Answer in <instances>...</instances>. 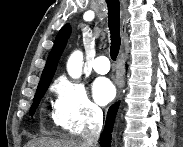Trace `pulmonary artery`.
<instances>
[{"mask_svg": "<svg viewBox=\"0 0 183 147\" xmlns=\"http://www.w3.org/2000/svg\"><path fill=\"white\" fill-rule=\"evenodd\" d=\"M93 69L98 74H106L110 70V62L106 56H99L94 60Z\"/></svg>", "mask_w": 183, "mask_h": 147, "instance_id": "e3ab8cb5", "label": "pulmonary artery"}]
</instances>
